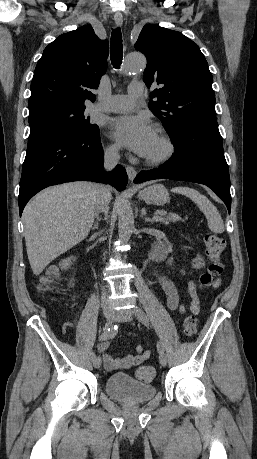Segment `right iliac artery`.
Instances as JSON below:
<instances>
[{
  "mask_svg": "<svg viewBox=\"0 0 257 459\" xmlns=\"http://www.w3.org/2000/svg\"><path fill=\"white\" fill-rule=\"evenodd\" d=\"M118 332V325H114L110 328L104 329L103 333L99 336V340H108L112 339L117 335ZM96 358V354L92 353V359Z\"/></svg>",
  "mask_w": 257,
  "mask_h": 459,
  "instance_id": "right-iliac-artery-1",
  "label": "right iliac artery"
}]
</instances>
